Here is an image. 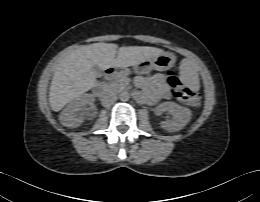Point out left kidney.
I'll list each match as a JSON object with an SVG mask.
<instances>
[{"mask_svg": "<svg viewBox=\"0 0 260 202\" xmlns=\"http://www.w3.org/2000/svg\"><path fill=\"white\" fill-rule=\"evenodd\" d=\"M165 111L169 112L173 116V120L161 122V127L168 132L182 129L188 124L192 116L191 110L174 102H163L155 108L156 114H161Z\"/></svg>", "mask_w": 260, "mask_h": 202, "instance_id": "1", "label": "left kidney"}]
</instances>
